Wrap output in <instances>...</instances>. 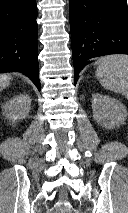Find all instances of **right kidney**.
I'll use <instances>...</instances> for the list:
<instances>
[{
  "instance_id": "1",
  "label": "right kidney",
  "mask_w": 128,
  "mask_h": 213,
  "mask_svg": "<svg viewBox=\"0 0 128 213\" xmlns=\"http://www.w3.org/2000/svg\"><path fill=\"white\" fill-rule=\"evenodd\" d=\"M31 109V98L27 94H20L9 101H7L3 107V114L12 123L17 120L24 119L28 116Z\"/></svg>"
}]
</instances>
